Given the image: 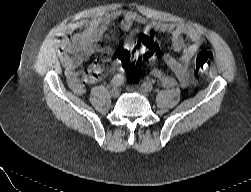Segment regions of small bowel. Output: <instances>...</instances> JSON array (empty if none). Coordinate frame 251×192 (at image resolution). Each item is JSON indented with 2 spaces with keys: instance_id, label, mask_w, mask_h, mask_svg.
<instances>
[{
  "instance_id": "c3829d8e",
  "label": "small bowel",
  "mask_w": 251,
  "mask_h": 192,
  "mask_svg": "<svg viewBox=\"0 0 251 192\" xmlns=\"http://www.w3.org/2000/svg\"><path fill=\"white\" fill-rule=\"evenodd\" d=\"M139 22H142V18L138 14L128 12L123 15L120 28L126 31ZM76 28V23L68 26L60 38L59 46L64 57L67 83L75 94L82 95L88 85L101 81L105 73L99 61H93L82 75L79 72L81 65L96 52H111L115 35L98 21L90 22L85 31L73 34ZM146 30L170 34L172 48L178 54H167L164 57L172 75L158 68L153 69L151 75L165 88L176 84L186 89L192 88L194 80L191 76V61L196 50L206 42L205 37L187 24L152 21L147 24Z\"/></svg>"
}]
</instances>
